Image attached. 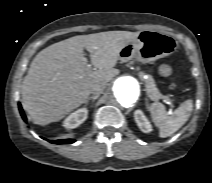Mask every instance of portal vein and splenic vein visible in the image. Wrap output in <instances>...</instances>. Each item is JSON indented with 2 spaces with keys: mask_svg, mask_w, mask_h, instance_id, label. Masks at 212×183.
Returning <instances> with one entry per match:
<instances>
[{
  "mask_svg": "<svg viewBox=\"0 0 212 183\" xmlns=\"http://www.w3.org/2000/svg\"><path fill=\"white\" fill-rule=\"evenodd\" d=\"M160 99H163V101L166 103V104H168L169 105V107H170V113L172 112V109L174 108V105H173V103L171 102V100L169 99V97L168 96H161V98Z\"/></svg>",
  "mask_w": 212,
  "mask_h": 183,
  "instance_id": "18ae733b",
  "label": "portal vein and splenic vein"
}]
</instances>
